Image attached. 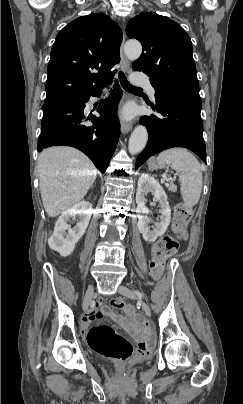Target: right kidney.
<instances>
[{
    "instance_id": "obj_1",
    "label": "right kidney",
    "mask_w": 243,
    "mask_h": 404,
    "mask_svg": "<svg viewBox=\"0 0 243 404\" xmlns=\"http://www.w3.org/2000/svg\"><path fill=\"white\" fill-rule=\"evenodd\" d=\"M89 208V202H79V204H75L73 208L62 212L55 224L52 236L48 238V244L51 250L59 252L60 256H63V258L72 254L75 244H77L78 240L85 234V230H87L91 218V214L88 212ZM76 216L78 222L74 228H70L67 222H69L70 218L75 220Z\"/></svg>"
}]
</instances>
